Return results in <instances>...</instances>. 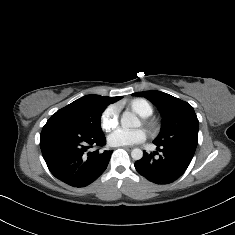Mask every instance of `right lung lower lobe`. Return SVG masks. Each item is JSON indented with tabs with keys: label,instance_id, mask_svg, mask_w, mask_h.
Masks as SVG:
<instances>
[{
	"label": "right lung lower lobe",
	"instance_id": "1",
	"mask_svg": "<svg viewBox=\"0 0 235 235\" xmlns=\"http://www.w3.org/2000/svg\"><path fill=\"white\" fill-rule=\"evenodd\" d=\"M104 134H96L60 120H48L40 134V147L50 172L73 187H85L107 168L111 151L90 152L103 146Z\"/></svg>",
	"mask_w": 235,
	"mask_h": 235
}]
</instances>
